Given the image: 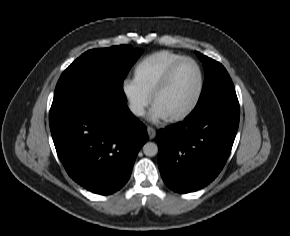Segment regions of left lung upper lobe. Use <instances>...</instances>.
Returning <instances> with one entry per match:
<instances>
[{
    "instance_id": "5c2ea615",
    "label": "left lung upper lobe",
    "mask_w": 290,
    "mask_h": 236,
    "mask_svg": "<svg viewBox=\"0 0 290 236\" xmlns=\"http://www.w3.org/2000/svg\"><path fill=\"white\" fill-rule=\"evenodd\" d=\"M195 54L204 64L205 81L193 111L200 110L220 97L235 91L233 82L222 64L199 52Z\"/></svg>"
}]
</instances>
